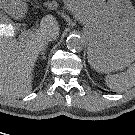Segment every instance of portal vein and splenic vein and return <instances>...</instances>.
<instances>
[{
	"mask_svg": "<svg viewBox=\"0 0 135 135\" xmlns=\"http://www.w3.org/2000/svg\"><path fill=\"white\" fill-rule=\"evenodd\" d=\"M0 34L1 35L13 36V30L8 26L1 27L0 28ZM31 34H32V31H30V30H23L21 32L22 37L30 36Z\"/></svg>",
	"mask_w": 135,
	"mask_h": 135,
	"instance_id": "1",
	"label": "portal vein and splenic vein"
}]
</instances>
